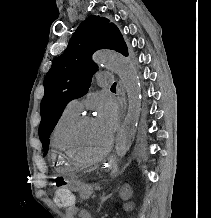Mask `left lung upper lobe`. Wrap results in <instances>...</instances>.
I'll use <instances>...</instances> for the list:
<instances>
[{
    "mask_svg": "<svg viewBox=\"0 0 211 218\" xmlns=\"http://www.w3.org/2000/svg\"><path fill=\"white\" fill-rule=\"evenodd\" d=\"M99 49L115 50L128 56L117 26L105 17L92 15L79 25L64 53L53 60L44 80L45 94L40 105L39 138L44 154L48 152L49 136L67 103L88 92L98 67L91 56Z\"/></svg>",
    "mask_w": 211,
    "mask_h": 218,
    "instance_id": "5c2ea615",
    "label": "left lung upper lobe"
}]
</instances>
